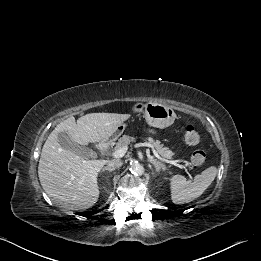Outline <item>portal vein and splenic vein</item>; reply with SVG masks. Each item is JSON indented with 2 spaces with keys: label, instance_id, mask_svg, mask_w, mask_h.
<instances>
[{
  "label": "portal vein and splenic vein",
  "instance_id": "18ae733b",
  "mask_svg": "<svg viewBox=\"0 0 261 261\" xmlns=\"http://www.w3.org/2000/svg\"><path fill=\"white\" fill-rule=\"evenodd\" d=\"M140 146L150 147V148L152 149V151H153L154 156L157 157L158 159H160V160H162V161H164V162H166V163H170V164H172V165H174V166H177V167H179V168H184V169H185V167H184L183 165L178 164L177 161H170V160H166V159H164V158H161V157L158 155L157 151L153 148L152 145H150V144H148V143H141ZM127 149H128V146L121 147V148H119L118 150H115V151L112 153V156H113L114 158H121V157H123V156L125 155ZM189 176H190V178H191V175H189Z\"/></svg>",
  "mask_w": 261,
  "mask_h": 261
}]
</instances>
